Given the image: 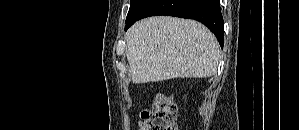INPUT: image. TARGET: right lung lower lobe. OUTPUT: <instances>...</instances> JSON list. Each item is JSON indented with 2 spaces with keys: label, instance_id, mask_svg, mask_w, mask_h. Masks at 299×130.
I'll return each instance as SVG.
<instances>
[{
  "label": "right lung lower lobe",
  "instance_id": "obj_1",
  "mask_svg": "<svg viewBox=\"0 0 299 130\" xmlns=\"http://www.w3.org/2000/svg\"><path fill=\"white\" fill-rule=\"evenodd\" d=\"M155 15L197 20L214 33L221 47L224 45V21L219 0H147L125 26V30L134 22Z\"/></svg>",
  "mask_w": 299,
  "mask_h": 130
}]
</instances>
